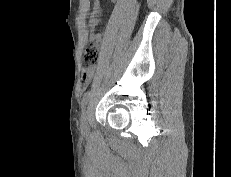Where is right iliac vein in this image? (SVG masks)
<instances>
[{
	"label": "right iliac vein",
	"instance_id": "1",
	"mask_svg": "<svg viewBox=\"0 0 231 177\" xmlns=\"http://www.w3.org/2000/svg\"><path fill=\"white\" fill-rule=\"evenodd\" d=\"M87 111L84 110L81 115V130L82 132H86L87 130Z\"/></svg>",
	"mask_w": 231,
	"mask_h": 177
}]
</instances>
